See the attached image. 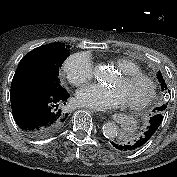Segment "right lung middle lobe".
<instances>
[{
  "label": "right lung middle lobe",
  "mask_w": 177,
  "mask_h": 177,
  "mask_svg": "<svg viewBox=\"0 0 177 177\" xmlns=\"http://www.w3.org/2000/svg\"><path fill=\"white\" fill-rule=\"evenodd\" d=\"M68 48L67 45L65 50L49 58L41 55L23 57L16 69L11 88L30 87L54 93L64 92L65 88L61 86L59 79V69L69 56Z\"/></svg>",
  "instance_id": "obj_1"
}]
</instances>
